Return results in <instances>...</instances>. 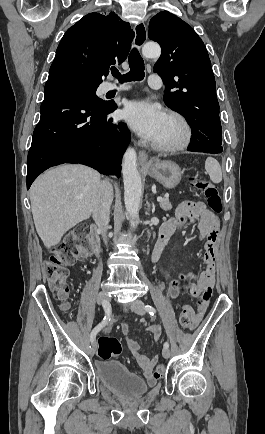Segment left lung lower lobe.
I'll use <instances>...</instances> for the list:
<instances>
[{"label": "left lung lower lobe", "mask_w": 265, "mask_h": 434, "mask_svg": "<svg viewBox=\"0 0 265 434\" xmlns=\"http://www.w3.org/2000/svg\"><path fill=\"white\" fill-rule=\"evenodd\" d=\"M188 151L218 154L223 151L222 139L192 133Z\"/></svg>", "instance_id": "left-lung-lower-lobe-1"}]
</instances>
